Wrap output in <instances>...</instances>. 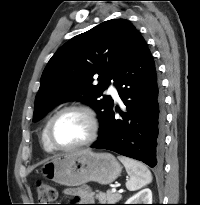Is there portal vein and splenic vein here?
Wrapping results in <instances>:
<instances>
[{
    "label": "portal vein and splenic vein",
    "instance_id": "portal-vein-and-splenic-vein-1",
    "mask_svg": "<svg viewBox=\"0 0 200 205\" xmlns=\"http://www.w3.org/2000/svg\"><path fill=\"white\" fill-rule=\"evenodd\" d=\"M111 191H112L113 193H114V192H116V188H112V190H111Z\"/></svg>",
    "mask_w": 200,
    "mask_h": 205
}]
</instances>
